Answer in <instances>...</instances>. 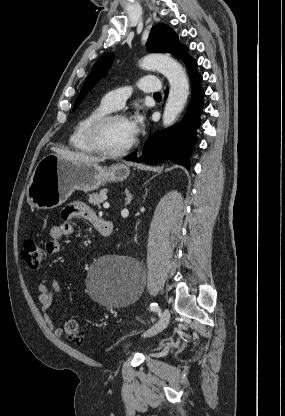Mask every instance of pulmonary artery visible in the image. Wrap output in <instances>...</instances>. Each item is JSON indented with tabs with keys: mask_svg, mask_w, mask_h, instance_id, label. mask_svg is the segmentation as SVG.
I'll list each match as a JSON object with an SVG mask.
<instances>
[{
	"mask_svg": "<svg viewBox=\"0 0 285 416\" xmlns=\"http://www.w3.org/2000/svg\"><path fill=\"white\" fill-rule=\"evenodd\" d=\"M140 89L145 92H151L152 95L158 94L159 82L152 76H144L140 79ZM152 82V83H148ZM130 89L129 87H113L112 92L107 93L102 102L110 110L118 109L121 106V102H125L129 99Z\"/></svg>",
	"mask_w": 285,
	"mask_h": 416,
	"instance_id": "1",
	"label": "pulmonary artery"
}]
</instances>
